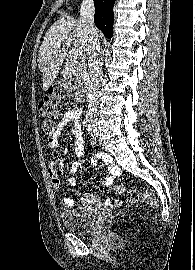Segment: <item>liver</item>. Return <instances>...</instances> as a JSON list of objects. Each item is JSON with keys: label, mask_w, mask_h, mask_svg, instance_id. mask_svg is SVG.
<instances>
[{"label": "liver", "mask_w": 195, "mask_h": 270, "mask_svg": "<svg viewBox=\"0 0 195 270\" xmlns=\"http://www.w3.org/2000/svg\"><path fill=\"white\" fill-rule=\"evenodd\" d=\"M71 45L85 53L88 35L81 19L65 16L50 27L40 46L38 67L43 76L44 90L53 84L64 59L69 57L67 50Z\"/></svg>", "instance_id": "obj_1"}]
</instances>
